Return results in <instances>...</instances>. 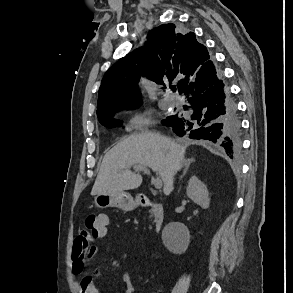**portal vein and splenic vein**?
Masks as SVG:
<instances>
[{
    "instance_id": "18ae733b",
    "label": "portal vein and splenic vein",
    "mask_w": 293,
    "mask_h": 293,
    "mask_svg": "<svg viewBox=\"0 0 293 293\" xmlns=\"http://www.w3.org/2000/svg\"><path fill=\"white\" fill-rule=\"evenodd\" d=\"M134 170L135 171H143L146 174H150V171L148 170V168L143 167V166H134ZM153 183L156 189H159L162 187V180L157 177L153 179Z\"/></svg>"
}]
</instances>
